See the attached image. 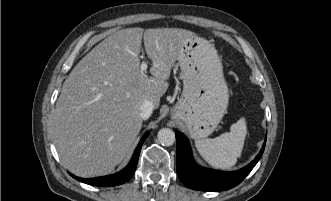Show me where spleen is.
<instances>
[{
  "label": "spleen",
  "mask_w": 331,
  "mask_h": 201,
  "mask_svg": "<svg viewBox=\"0 0 331 201\" xmlns=\"http://www.w3.org/2000/svg\"><path fill=\"white\" fill-rule=\"evenodd\" d=\"M246 134V120L242 117L231 125L230 132L213 139L196 140L195 146L208 164L218 169H229L241 156Z\"/></svg>",
  "instance_id": "spleen-1"
}]
</instances>
